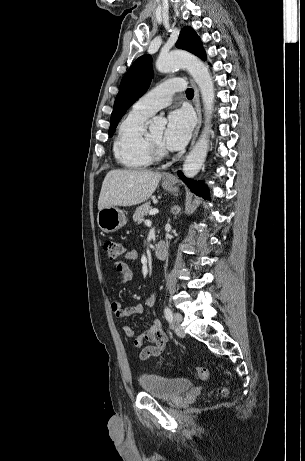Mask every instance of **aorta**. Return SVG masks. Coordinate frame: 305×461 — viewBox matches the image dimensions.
Returning <instances> with one entry per match:
<instances>
[{
    "mask_svg": "<svg viewBox=\"0 0 305 461\" xmlns=\"http://www.w3.org/2000/svg\"><path fill=\"white\" fill-rule=\"evenodd\" d=\"M156 68L161 73H167L177 68H186L197 83L204 104L206 123H210L215 99L214 83L208 67L197 57L182 52L173 51L160 55L156 61ZM150 129H161L166 124L163 117H154L149 121ZM209 127L206 125L195 146L186 157L183 173L188 178H193L201 169L208 151Z\"/></svg>",
    "mask_w": 305,
    "mask_h": 461,
    "instance_id": "obj_1",
    "label": "aorta"
}]
</instances>
